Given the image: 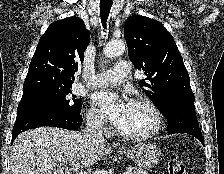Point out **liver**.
<instances>
[{"mask_svg":"<svg viewBox=\"0 0 224 174\" xmlns=\"http://www.w3.org/2000/svg\"><path fill=\"white\" fill-rule=\"evenodd\" d=\"M112 148L89 141L83 134L53 127H39L18 135L10 155L11 174H50L69 162L92 166Z\"/></svg>","mask_w":224,"mask_h":174,"instance_id":"obj_1","label":"liver"}]
</instances>
